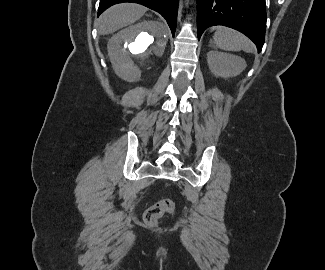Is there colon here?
Wrapping results in <instances>:
<instances>
[{"instance_id":"colon-1","label":"colon","mask_w":325,"mask_h":270,"mask_svg":"<svg viewBox=\"0 0 325 270\" xmlns=\"http://www.w3.org/2000/svg\"><path fill=\"white\" fill-rule=\"evenodd\" d=\"M175 203L170 199H161L150 206L144 213V221L148 225H155L165 213H172Z\"/></svg>"}]
</instances>
